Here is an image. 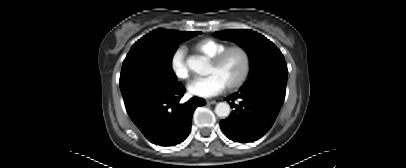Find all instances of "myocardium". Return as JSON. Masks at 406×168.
Instances as JSON below:
<instances>
[{
  "mask_svg": "<svg viewBox=\"0 0 406 168\" xmlns=\"http://www.w3.org/2000/svg\"><path fill=\"white\" fill-rule=\"evenodd\" d=\"M233 51H238L243 58V70L242 73L240 75V77L231 85L226 86V89L229 91H233L236 90L238 88H240L247 80L250 70H251V54L249 52V50L242 46V45H233V46H229L226 47L224 50H222L221 52H219L217 55H215L214 57H212L210 59V64L212 66H219L223 60L225 59V57Z\"/></svg>",
  "mask_w": 406,
  "mask_h": 168,
  "instance_id": "1",
  "label": "myocardium"
}]
</instances>
